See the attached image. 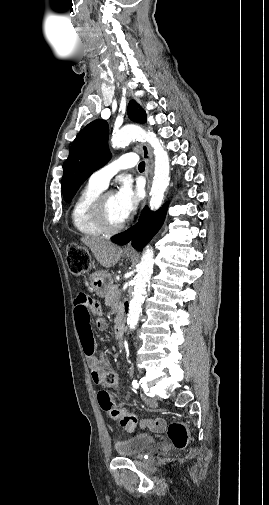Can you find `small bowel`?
Masks as SVG:
<instances>
[{
	"label": "small bowel",
	"instance_id": "obj_1",
	"mask_svg": "<svg viewBox=\"0 0 269 505\" xmlns=\"http://www.w3.org/2000/svg\"><path fill=\"white\" fill-rule=\"evenodd\" d=\"M75 299V319L79 338L85 355L90 361L92 369V378L95 383L100 384L101 377L108 367L105 356L102 353H96L95 342L91 326V315H95V326L99 330H105L107 323L101 317V308L94 302L93 298H86L87 292L80 290ZM141 428H149L154 431H163L166 423L163 419H143L139 423Z\"/></svg>",
	"mask_w": 269,
	"mask_h": 505
}]
</instances>
